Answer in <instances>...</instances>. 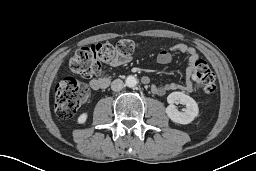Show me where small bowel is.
Listing matches in <instances>:
<instances>
[{
  "label": "small bowel",
  "mask_w": 256,
  "mask_h": 171,
  "mask_svg": "<svg viewBox=\"0 0 256 171\" xmlns=\"http://www.w3.org/2000/svg\"><path fill=\"white\" fill-rule=\"evenodd\" d=\"M173 53H182L188 56L189 65L187 68V76L186 82L184 85H179L176 83H167L164 85H153L152 92L158 95H163L168 91L172 90H182V91H190L191 83L189 78L193 72L194 66L199 59V55L195 48L184 44V43H176L172 45L168 49L161 50L157 55V62L160 64H169L172 61ZM130 61L129 56H117L112 61H110V66L118 67L127 64ZM148 79L147 77H144ZM111 81L110 76H93L90 79V87L94 90L105 89L109 86Z\"/></svg>",
  "instance_id": "obj_1"
}]
</instances>
